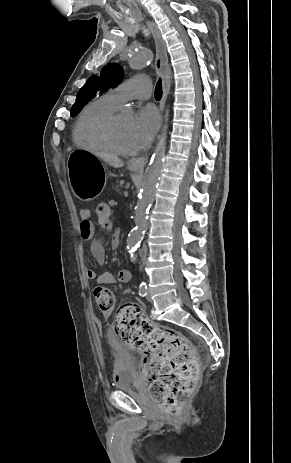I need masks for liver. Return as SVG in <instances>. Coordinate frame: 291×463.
I'll return each mask as SVG.
<instances>
[{
    "label": "liver",
    "instance_id": "liver-1",
    "mask_svg": "<svg viewBox=\"0 0 291 463\" xmlns=\"http://www.w3.org/2000/svg\"><path fill=\"white\" fill-rule=\"evenodd\" d=\"M94 154L100 157L101 159H103L106 163H108L112 167L120 168L123 166L122 160L113 154L104 153V152H94Z\"/></svg>",
    "mask_w": 291,
    "mask_h": 463
}]
</instances>
